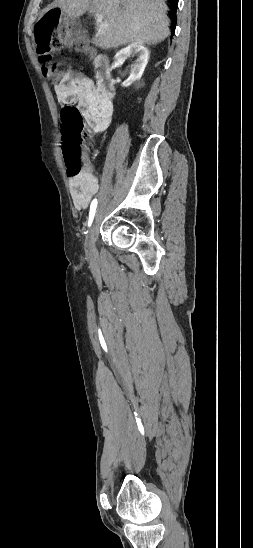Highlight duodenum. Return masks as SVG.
<instances>
[{
  "label": "duodenum",
  "mask_w": 253,
  "mask_h": 548,
  "mask_svg": "<svg viewBox=\"0 0 253 548\" xmlns=\"http://www.w3.org/2000/svg\"><path fill=\"white\" fill-rule=\"evenodd\" d=\"M94 70L98 89L108 98H112L115 93V87L111 79V68L108 58L104 55L96 56L94 59Z\"/></svg>",
  "instance_id": "1"
}]
</instances>
